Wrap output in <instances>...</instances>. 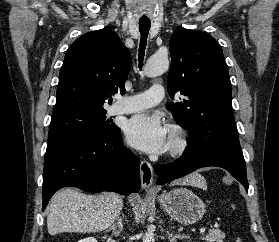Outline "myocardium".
Instances as JSON below:
<instances>
[{
  "label": "myocardium",
  "instance_id": "f54148a6",
  "mask_svg": "<svg viewBox=\"0 0 279 242\" xmlns=\"http://www.w3.org/2000/svg\"><path fill=\"white\" fill-rule=\"evenodd\" d=\"M170 130V141H169V154L173 157L183 155L189 146V133L180 124H171Z\"/></svg>",
  "mask_w": 279,
  "mask_h": 242
}]
</instances>
